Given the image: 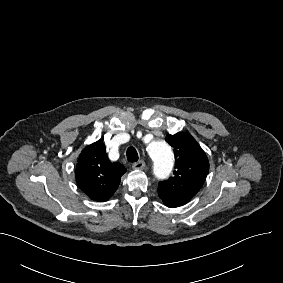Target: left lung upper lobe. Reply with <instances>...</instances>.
I'll return each mask as SVG.
<instances>
[{
    "mask_svg": "<svg viewBox=\"0 0 283 283\" xmlns=\"http://www.w3.org/2000/svg\"><path fill=\"white\" fill-rule=\"evenodd\" d=\"M176 157L174 176L160 182L158 195L168 207L189 202L205 182L209 161L197 141L188 133L167 135Z\"/></svg>",
    "mask_w": 283,
    "mask_h": 283,
    "instance_id": "obj_1",
    "label": "left lung upper lobe"
}]
</instances>
